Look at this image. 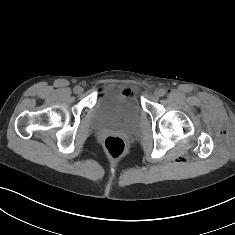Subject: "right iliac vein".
Instances as JSON below:
<instances>
[{
	"instance_id": "obj_1",
	"label": "right iliac vein",
	"mask_w": 235,
	"mask_h": 235,
	"mask_svg": "<svg viewBox=\"0 0 235 235\" xmlns=\"http://www.w3.org/2000/svg\"><path fill=\"white\" fill-rule=\"evenodd\" d=\"M83 91H84V89L79 86L78 89H77V91H76V93H77V94H81Z\"/></svg>"
}]
</instances>
